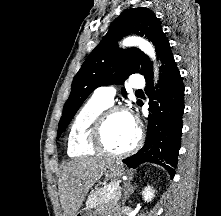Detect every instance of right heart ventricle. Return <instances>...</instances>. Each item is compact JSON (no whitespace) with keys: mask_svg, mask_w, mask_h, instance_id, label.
Returning <instances> with one entry per match:
<instances>
[{"mask_svg":"<svg viewBox=\"0 0 221 216\" xmlns=\"http://www.w3.org/2000/svg\"><path fill=\"white\" fill-rule=\"evenodd\" d=\"M108 107L92 98L80 109L68 132L67 151L69 156L85 157L96 153L91 144V129L101 113Z\"/></svg>","mask_w":221,"mask_h":216,"instance_id":"obj_1","label":"right heart ventricle"}]
</instances>
